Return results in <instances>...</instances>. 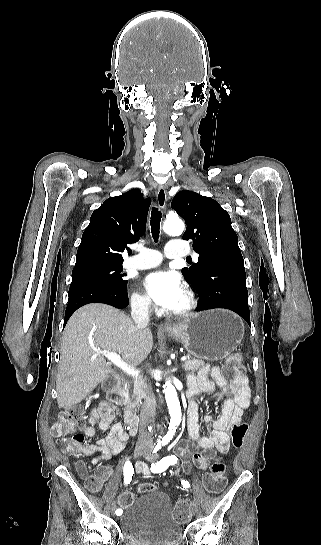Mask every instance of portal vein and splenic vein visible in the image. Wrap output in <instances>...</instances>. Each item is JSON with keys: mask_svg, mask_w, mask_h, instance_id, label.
Here are the masks:
<instances>
[{"mask_svg": "<svg viewBox=\"0 0 321 545\" xmlns=\"http://www.w3.org/2000/svg\"><path fill=\"white\" fill-rule=\"evenodd\" d=\"M96 353H100V355H103V357H106V359H109L111 363H114L116 367H119V369H122L124 373H127V375H132V377H138L139 371H135L133 367H129V365H126L124 361H122L120 355H117V353H110V351H96ZM187 358V355H184V357H181V362H185V359Z\"/></svg>", "mask_w": 321, "mask_h": 545, "instance_id": "1", "label": "portal vein and splenic vein"}]
</instances>
